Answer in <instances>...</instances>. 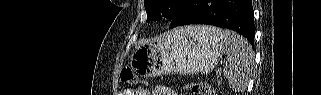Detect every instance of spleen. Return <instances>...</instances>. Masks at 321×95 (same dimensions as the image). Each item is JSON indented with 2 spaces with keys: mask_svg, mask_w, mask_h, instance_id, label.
I'll return each mask as SVG.
<instances>
[{
  "mask_svg": "<svg viewBox=\"0 0 321 95\" xmlns=\"http://www.w3.org/2000/svg\"><path fill=\"white\" fill-rule=\"evenodd\" d=\"M204 34L219 38L224 43L226 53V65L224 75L228 79L229 86L234 90H243L247 86L249 72L254 63L253 50L249 42L235 32L199 26Z\"/></svg>",
  "mask_w": 321,
  "mask_h": 95,
  "instance_id": "spleen-1",
  "label": "spleen"
}]
</instances>
